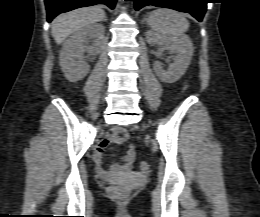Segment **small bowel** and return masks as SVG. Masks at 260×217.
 Wrapping results in <instances>:
<instances>
[{
	"instance_id": "c3829d8e",
	"label": "small bowel",
	"mask_w": 260,
	"mask_h": 217,
	"mask_svg": "<svg viewBox=\"0 0 260 217\" xmlns=\"http://www.w3.org/2000/svg\"><path fill=\"white\" fill-rule=\"evenodd\" d=\"M186 88V86H185ZM128 137V132L124 128H115L111 134L101 140L95 149L92 159L97 173L104 179H113L115 176H122L132 171L135 161V148L130 146L129 150L123 155L121 162H115L110 170L102 166V156L105 148L111 144L121 145Z\"/></svg>"
}]
</instances>
